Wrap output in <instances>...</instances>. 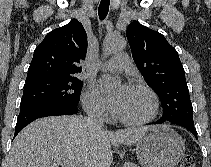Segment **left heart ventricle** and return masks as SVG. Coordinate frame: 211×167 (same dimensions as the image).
<instances>
[{
	"label": "left heart ventricle",
	"mask_w": 211,
	"mask_h": 167,
	"mask_svg": "<svg viewBox=\"0 0 211 167\" xmlns=\"http://www.w3.org/2000/svg\"><path fill=\"white\" fill-rule=\"evenodd\" d=\"M151 112L150 96L144 91L130 88L118 114L127 119L139 120L148 117Z\"/></svg>",
	"instance_id": "obj_1"
}]
</instances>
